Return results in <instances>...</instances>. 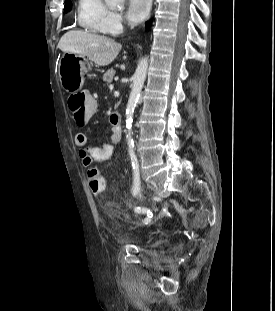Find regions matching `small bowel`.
I'll return each mask as SVG.
<instances>
[{"instance_id":"small-bowel-1","label":"small bowel","mask_w":275,"mask_h":311,"mask_svg":"<svg viewBox=\"0 0 275 311\" xmlns=\"http://www.w3.org/2000/svg\"><path fill=\"white\" fill-rule=\"evenodd\" d=\"M110 125L112 126L110 140L104 142L101 146H89L87 135L83 132L75 134L74 142L80 149L79 156L83 166L90 167L95 164H102L112 157L115 146L121 140L122 128L118 119H111Z\"/></svg>"}]
</instances>
